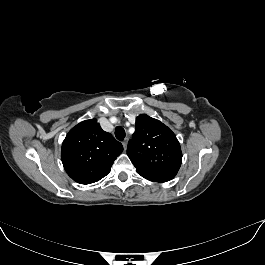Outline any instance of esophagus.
<instances>
[{
    "label": "esophagus",
    "instance_id": "1",
    "mask_svg": "<svg viewBox=\"0 0 265 265\" xmlns=\"http://www.w3.org/2000/svg\"><path fill=\"white\" fill-rule=\"evenodd\" d=\"M122 144H123L124 149L126 150V148H127V144H128V138H125V139L122 141Z\"/></svg>",
    "mask_w": 265,
    "mask_h": 265
}]
</instances>
